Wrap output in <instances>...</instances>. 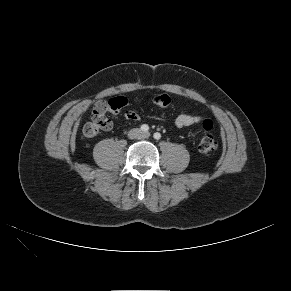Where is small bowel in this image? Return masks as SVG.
Segmentation results:
<instances>
[{
	"instance_id": "small-bowel-1",
	"label": "small bowel",
	"mask_w": 291,
	"mask_h": 291,
	"mask_svg": "<svg viewBox=\"0 0 291 291\" xmlns=\"http://www.w3.org/2000/svg\"><path fill=\"white\" fill-rule=\"evenodd\" d=\"M108 105H109V102H106V101L97 102L94 106L93 114L105 110L108 107ZM125 117L128 120H132V121H136L139 119L138 114L132 110L126 111ZM201 119L202 118L199 115L180 114L175 119V125L179 128H186V127L199 123Z\"/></svg>"
}]
</instances>
